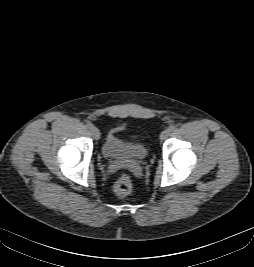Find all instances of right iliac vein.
<instances>
[{"mask_svg": "<svg viewBox=\"0 0 254 267\" xmlns=\"http://www.w3.org/2000/svg\"><path fill=\"white\" fill-rule=\"evenodd\" d=\"M90 131H91L92 136H93L96 140H98V139L100 138V131H99V129H98L97 127L92 126V127L90 128Z\"/></svg>", "mask_w": 254, "mask_h": 267, "instance_id": "1", "label": "right iliac vein"}]
</instances>
